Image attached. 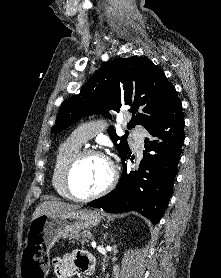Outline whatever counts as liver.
Segmentation results:
<instances>
[{
    "mask_svg": "<svg viewBox=\"0 0 221 278\" xmlns=\"http://www.w3.org/2000/svg\"><path fill=\"white\" fill-rule=\"evenodd\" d=\"M78 209L77 205H70L60 201H44L35 209L32 220L43 214L64 213Z\"/></svg>",
    "mask_w": 221,
    "mask_h": 278,
    "instance_id": "liver-1",
    "label": "liver"
}]
</instances>
